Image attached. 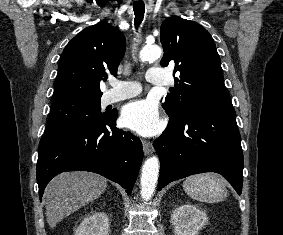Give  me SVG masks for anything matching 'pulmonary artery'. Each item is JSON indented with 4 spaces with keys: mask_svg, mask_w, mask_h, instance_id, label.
I'll return each mask as SVG.
<instances>
[{
    "mask_svg": "<svg viewBox=\"0 0 283 235\" xmlns=\"http://www.w3.org/2000/svg\"><path fill=\"white\" fill-rule=\"evenodd\" d=\"M146 80L155 85H166L165 75L156 68H151L147 71ZM112 89L105 92L102 98L103 103L109 104L122 101L128 98L135 97L140 94L141 86L135 81H124L113 79L110 82Z\"/></svg>",
    "mask_w": 283,
    "mask_h": 235,
    "instance_id": "obj_1",
    "label": "pulmonary artery"
}]
</instances>
